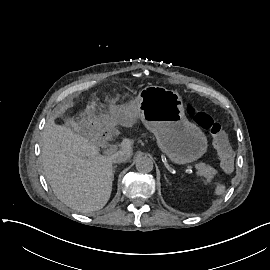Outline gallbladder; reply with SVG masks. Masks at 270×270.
<instances>
[{
    "label": "gallbladder",
    "mask_w": 270,
    "mask_h": 270,
    "mask_svg": "<svg viewBox=\"0 0 270 270\" xmlns=\"http://www.w3.org/2000/svg\"><path fill=\"white\" fill-rule=\"evenodd\" d=\"M84 121L76 122L73 118L69 119L65 122V126L70 128L73 132L80 134V129L83 125Z\"/></svg>",
    "instance_id": "bac80fb5"
}]
</instances>
